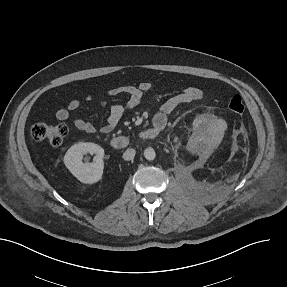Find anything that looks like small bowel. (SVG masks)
Segmentation results:
<instances>
[{"label": "small bowel", "mask_w": 287, "mask_h": 287, "mask_svg": "<svg viewBox=\"0 0 287 287\" xmlns=\"http://www.w3.org/2000/svg\"><path fill=\"white\" fill-rule=\"evenodd\" d=\"M151 84L141 82L138 85H124L109 89L110 95H125L126 101L123 104H114L109 110L105 124L100 128L104 134L110 133L119 123L126 111L135 108L141 101L144 94L149 92ZM203 97V92L197 87H185L180 93L167 99L153 116V125L159 130L164 129L168 123L169 116L181 105L195 102ZM92 99L91 95L85 97L86 101ZM81 102L77 99L70 100L67 105L56 111V118L60 121H71L76 129L85 133H94L96 127L89 121L74 117L73 113L79 110Z\"/></svg>", "instance_id": "obj_1"}]
</instances>
